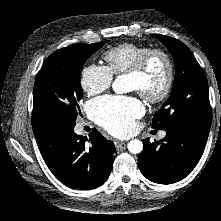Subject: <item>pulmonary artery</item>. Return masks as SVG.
Returning <instances> with one entry per match:
<instances>
[{
  "mask_svg": "<svg viewBox=\"0 0 221 221\" xmlns=\"http://www.w3.org/2000/svg\"><path fill=\"white\" fill-rule=\"evenodd\" d=\"M160 137H161V138H164V137H165V133H162V134L160 135Z\"/></svg>",
  "mask_w": 221,
  "mask_h": 221,
  "instance_id": "obj_1",
  "label": "pulmonary artery"
}]
</instances>
